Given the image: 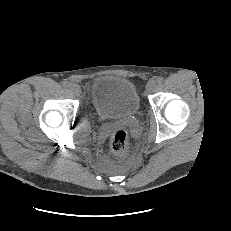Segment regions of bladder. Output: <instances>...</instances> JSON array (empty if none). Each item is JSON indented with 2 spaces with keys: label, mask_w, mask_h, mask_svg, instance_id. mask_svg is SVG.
Returning <instances> with one entry per match:
<instances>
[{
  "label": "bladder",
  "mask_w": 231,
  "mask_h": 231,
  "mask_svg": "<svg viewBox=\"0 0 231 231\" xmlns=\"http://www.w3.org/2000/svg\"><path fill=\"white\" fill-rule=\"evenodd\" d=\"M92 105L102 119L134 115L140 107L135 85L128 79L103 75L95 78L90 90Z\"/></svg>",
  "instance_id": "1"
}]
</instances>
